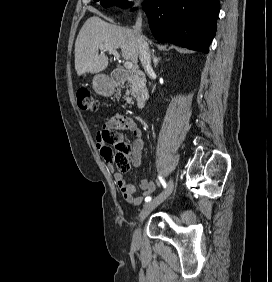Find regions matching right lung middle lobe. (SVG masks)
<instances>
[{
  "label": "right lung middle lobe",
  "mask_w": 272,
  "mask_h": 282,
  "mask_svg": "<svg viewBox=\"0 0 272 282\" xmlns=\"http://www.w3.org/2000/svg\"><path fill=\"white\" fill-rule=\"evenodd\" d=\"M95 1L97 2V1H100V0H95ZM101 4L104 7H109V6H113V5L119 6L121 8L131 7V3L127 2L126 0H101Z\"/></svg>",
  "instance_id": "obj_1"
}]
</instances>
